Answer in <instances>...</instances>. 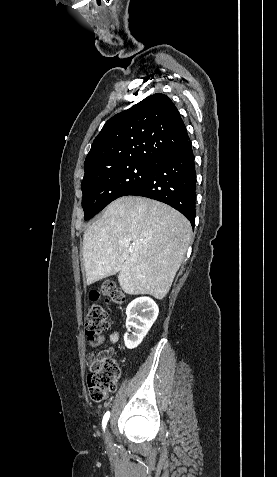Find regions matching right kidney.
Listing matches in <instances>:
<instances>
[{"instance_id": "ca27d5eb", "label": "right kidney", "mask_w": 277, "mask_h": 477, "mask_svg": "<svg viewBox=\"0 0 277 477\" xmlns=\"http://www.w3.org/2000/svg\"><path fill=\"white\" fill-rule=\"evenodd\" d=\"M158 314V305L149 297L136 298L127 306V333L124 335V342L128 349H134L142 342ZM131 328L133 332L129 335Z\"/></svg>"}]
</instances>
